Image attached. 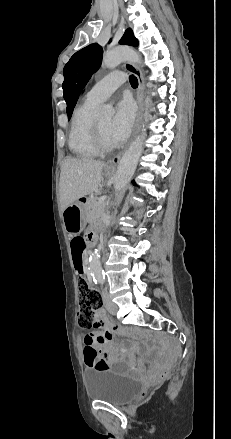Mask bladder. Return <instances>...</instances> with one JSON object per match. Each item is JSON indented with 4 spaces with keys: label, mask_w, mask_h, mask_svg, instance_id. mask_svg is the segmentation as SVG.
<instances>
[{
    "label": "bladder",
    "mask_w": 231,
    "mask_h": 439,
    "mask_svg": "<svg viewBox=\"0 0 231 439\" xmlns=\"http://www.w3.org/2000/svg\"><path fill=\"white\" fill-rule=\"evenodd\" d=\"M85 383L89 398L115 405L124 404L138 395L142 388L141 381L111 369L90 368L85 374Z\"/></svg>",
    "instance_id": "1"
}]
</instances>
